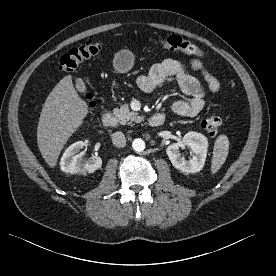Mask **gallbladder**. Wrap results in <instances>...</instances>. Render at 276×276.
Returning a JSON list of instances; mask_svg holds the SVG:
<instances>
[{"label": "gallbladder", "instance_id": "gallbladder-1", "mask_svg": "<svg viewBox=\"0 0 276 276\" xmlns=\"http://www.w3.org/2000/svg\"><path fill=\"white\" fill-rule=\"evenodd\" d=\"M75 86L78 92L82 94L86 92V85L82 79L80 78L76 79Z\"/></svg>", "mask_w": 276, "mask_h": 276}]
</instances>
